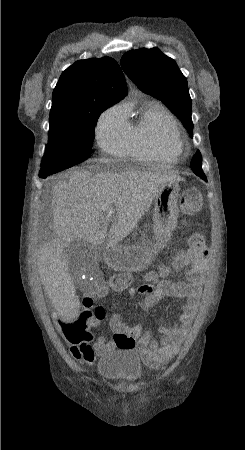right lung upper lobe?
I'll list each match as a JSON object with an SVG mask.
<instances>
[{
    "label": "right lung upper lobe",
    "instance_id": "right-lung-upper-lobe-1",
    "mask_svg": "<svg viewBox=\"0 0 245 450\" xmlns=\"http://www.w3.org/2000/svg\"><path fill=\"white\" fill-rule=\"evenodd\" d=\"M127 95L124 75L108 56L76 61L60 76L52 96L50 116L84 112L98 103H117Z\"/></svg>",
    "mask_w": 245,
    "mask_h": 450
}]
</instances>
